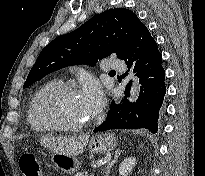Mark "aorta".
Returning <instances> with one entry per match:
<instances>
[{
	"instance_id": "aorta-1",
	"label": "aorta",
	"mask_w": 205,
	"mask_h": 176,
	"mask_svg": "<svg viewBox=\"0 0 205 176\" xmlns=\"http://www.w3.org/2000/svg\"><path fill=\"white\" fill-rule=\"evenodd\" d=\"M140 92V84L137 80H135L131 86V91H130V100L135 101Z\"/></svg>"
}]
</instances>
